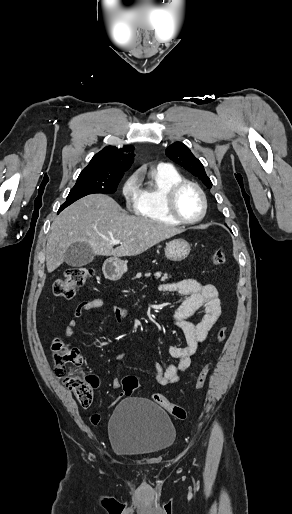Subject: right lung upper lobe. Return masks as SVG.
Instances as JSON below:
<instances>
[{"label": "right lung upper lobe", "mask_w": 292, "mask_h": 514, "mask_svg": "<svg viewBox=\"0 0 292 514\" xmlns=\"http://www.w3.org/2000/svg\"><path fill=\"white\" fill-rule=\"evenodd\" d=\"M131 145L117 149L114 146H107L94 155L87 167L80 173L81 176H95L107 178H122L133 163V155L122 152L132 151Z\"/></svg>", "instance_id": "right-lung-upper-lobe-1"}]
</instances>
